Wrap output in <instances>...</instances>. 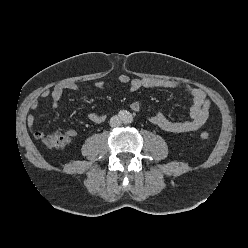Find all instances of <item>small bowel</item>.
<instances>
[{
    "label": "small bowel",
    "instance_id": "small-bowel-1",
    "mask_svg": "<svg viewBox=\"0 0 248 248\" xmlns=\"http://www.w3.org/2000/svg\"><path fill=\"white\" fill-rule=\"evenodd\" d=\"M118 82L123 85H128L132 92H137L141 89L164 88L169 90H182L191 97L192 106L190 108V118L186 121H171L161 112H156L149 116L148 120L150 123L158 126L160 129L166 132L184 133L199 130L206 124L210 116L211 103L206 94L197 87L165 79H131L127 75H120L118 77ZM96 86L100 89H103L105 88V83L98 81ZM78 89V85L74 82H62L55 85L51 90L43 91L40 95V98H50L52 107L57 109L59 107V101L62 98L64 92L78 91ZM38 105L39 100L36 99L31 103V108L35 110L37 109ZM130 108L134 112H139L141 110V103L134 101L130 104ZM87 118L89 121L95 124H100L105 121L106 115L103 113L91 112L87 115ZM35 122V116L32 114L28 115L27 124L30 131L36 138L41 139L43 132L36 128ZM76 134L77 133L74 129H69L67 131V136L69 137H74Z\"/></svg>",
    "mask_w": 248,
    "mask_h": 248
}]
</instances>
